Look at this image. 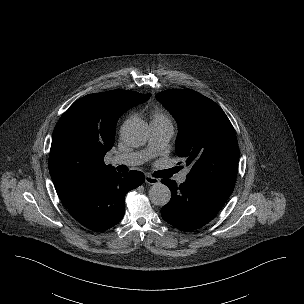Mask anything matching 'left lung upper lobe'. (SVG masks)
<instances>
[{
	"instance_id": "left-lung-upper-lobe-1",
	"label": "left lung upper lobe",
	"mask_w": 304,
	"mask_h": 304,
	"mask_svg": "<svg viewBox=\"0 0 304 304\" xmlns=\"http://www.w3.org/2000/svg\"><path fill=\"white\" fill-rule=\"evenodd\" d=\"M156 98L177 120L176 153L191 167L186 181L231 195L239 147L234 128L221 107L190 89H169Z\"/></svg>"
}]
</instances>
